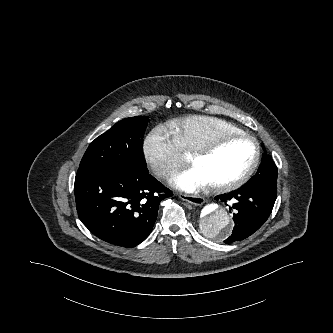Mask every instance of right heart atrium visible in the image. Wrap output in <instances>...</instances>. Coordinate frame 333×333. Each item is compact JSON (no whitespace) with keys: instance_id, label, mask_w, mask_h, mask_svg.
I'll return each mask as SVG.
<instances>
[{"instance_id":"obj_1","label":"right heart atrium","mask_w":333,"mask_h":333,"mask_svg":"<svg viewBox=\"0 0 333 333\" xmlns=\"http://www.w3.org/2000/svg\"><path fill=\"white\" fill-rule=\"evenodd\" d=\"M142 155L146 165L160 179L169 178L185 163L183 153L162 126L153 128L146 136Z\"/></svg>"}]
</instances>
